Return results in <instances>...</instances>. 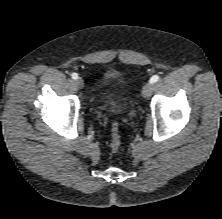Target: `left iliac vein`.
<instances>
[{"instance_id":"obj_1","label":"left iliac vein","mask_w":222,"mask_h":219,"mask_svg":"<svg viewBox=\"0 0 222 219\" xmlns=\"http://www.w3.org/2000/svg\"><path fill=\"white\" fill-rule=\"evenodd\" d=\"M153 91V84L152 83H147L144 85V87L142 88V96L144 98H148L151 96Z\"/></svg>"}]
</instances>
